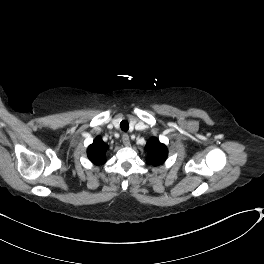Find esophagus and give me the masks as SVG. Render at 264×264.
<instances>
[{
    "instance_id": "obj_1",
    "label": "esophagus",
    "mask_w": 264,
    "mask_h": 264,
    "mask_svg": "<svg viewBox=\"0 0 264 264\" xmlns=\"http://www.w3.org/2000/svg\"><path fill=\"white\" fill-rule=\"evenodd\" d=\"M122 141L125 146H130V138L128 134L122 135Z\"/></svg>"
}]
</instances>
